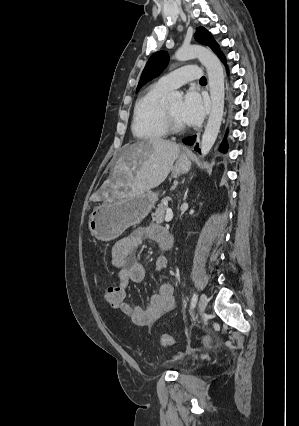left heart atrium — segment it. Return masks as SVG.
<instances>
[{"mask_svg": "<svg viewBox=\"0 0 299 426\" xmlns=\"http://www.w3.org/2000/svg\"><path fill=\"white\" fill-rule=\"evenodd\" d=\"M205 115V103L196 91H188L180 109V118L184 124L197 125Z\"/></svg>", "mask_w": 299, "mask_h": 426, "instance_id": "39dd6f15", "label": "left heart atrium"}]
</instances>
